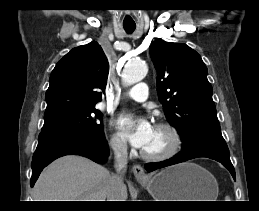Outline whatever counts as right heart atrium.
I'll list each match as a JSON object with an SVG mask.
<instances>
[{
  "mask_svg": "<svg viewBox=\"0 0 259 211\" xmlns=\"http://www.w3.org/2000/svg\"><path fill=\"white\" fill-rule=\"evenodd\" d=\"M110 146L114 153L118 156L125 155L127 151L126 143L122 136L118 133H114L110 137Z\"/></svg>",
  "mask_w": 259,
  "mask_h": 211,
  "instance_id": "d8ad5b80",
  "label": "right heart atrium"
}]
</instances>
